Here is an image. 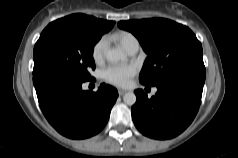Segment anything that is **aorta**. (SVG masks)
I'll use <instances>...</instances> for the list:
<instances>
[{
	"label": "aorta",
	"mask_w": 238,
	"mask_h": 158,
	"mask_svg": "<svg viewBox=\"0 0 238 158\" xmlns=\"http://www.w3.org/2000/svg\"><path fill=\"white\" fill-rule=\"evenodd\" d=\"M126 58L124 52L120 49L111 48L106 51V59L109 62H118ZM136 95L133 92H128L124 94L123 101L125 104L132 106L136 103Z\"/></svg>",
	"instance_id": "762f6f07"
}]
</instances>
